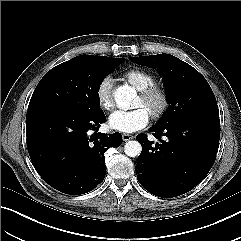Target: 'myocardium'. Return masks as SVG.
<instances>
[{"label": "myocardium", "mask_w": 241, "mask_h": 241, "mask_svg": "<svg viewBox=\"0 0 241 241\" xmlns=\"http://www.w3.org/2000/svg\"><path fill=\"white\" fill-rule=\"evenodd\" d=\"M143 102L149 104V113L154 119L161 118L169 108L170 99L167 90L157 84L139 91Z\"/></svg>", "instance_id": "obj_1"}]
</instances>
